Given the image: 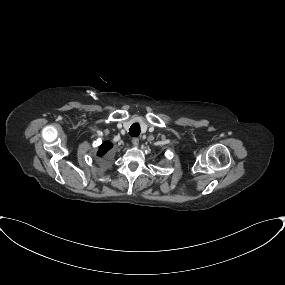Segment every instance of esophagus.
Returning a JSON list of instances; mask_svg holds the SVG:
<instances>
[{
  "instance_id": "1",
  "label": "esophagus",
  "mask_w": 285,
  "mask_h": 285,
  "mask_svg": "<svg viewBox=\"0 0 285 285\" xmlns=\"http://www.w3.org/2000/svg\"><path fill=\"white\" fill-rule=\"evenodd\" d=\"M132 144H133V146H138L139 145V139L138 138H133L132 139Z\"/></svg>"
}]
</instances>
